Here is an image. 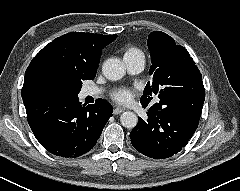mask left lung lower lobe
<instances>
[{"label":"left lung lower lobe","instance_id":"obj_1","mask_svg":"<svg viewBox=\"0 0 240 191\" xmlns=\"http://www.w3.org/2000/svg\"><path fill=\"white\" fill-rule=\"evenodd\" d=\"M205 98L203 82L196 80L188 90L170 101L157 102L139 117L130 138L134 148L154 159H165L186 146L199 124ZM145 108L148 104L141 103Z\"/></svg>","mask_w":240,"mask_h":191}]
</instances>
